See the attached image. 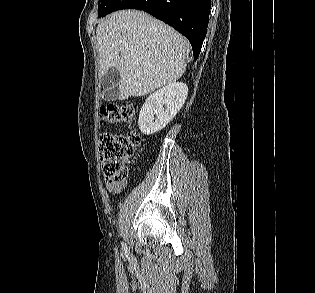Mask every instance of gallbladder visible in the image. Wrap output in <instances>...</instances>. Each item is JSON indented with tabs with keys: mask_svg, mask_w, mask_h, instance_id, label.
I'll list each match as a JSON object with an SVG mask.
<instances>
[{
	"mask_svg": "<svg viewBox=\"0 0 315 293\" xmlns=\"http://www.w3.org/2000/svg\"><path fill=\"white\" fill-rule=\"evenodd\" d=\"M120 82L119 71L111 67L102 75V85L106 89L104 99L107 101H115L118 99Z\"/></svg>",
	"mask_w": 315,
	"mask_h": 293,
	"instance_id": "bac80fb5",
	"label": "gallbladder"
}]
</instances>
